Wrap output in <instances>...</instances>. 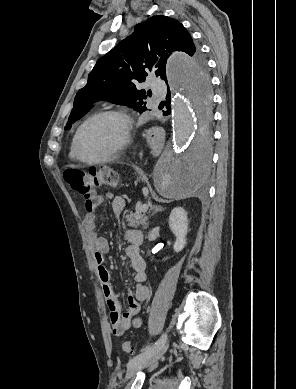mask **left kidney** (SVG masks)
Here are the masks:
<instances>
[{
    "mask_svg": "<svg viewBox=\"0 0 296 389\" xmlns=\"http://www.w3.org/2000/svg\"><path fill=\"white\" fill-rule=\"evenodd\" d=\"M169 226L176 236L174 251L180 252L186 245V235L188 233L187 213L182 207L174 208L169 216Z\"/></svg>",
    "mask_w": 296,
    "mask_h": 389,
    "instance_id": "left-kidney-1",
    "label": "left kidney"
}]
</instances>
